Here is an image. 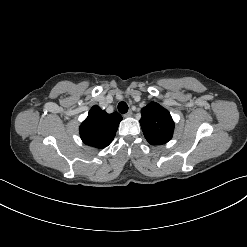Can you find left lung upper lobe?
Masks as SVG:
<instances>
[{"instance_id":"5c2ea615","label":"left lung upper lobe","mask_w":247,"mask_h":247,"mask_svg":"<svg viewBox=\"0 0 247 247\" xmlns=\"http://www.w3.org/2000/svg\"><path fill=\"white\" fill-rule=\"evenodd\" d=\"M141 128L146 140L152 145H162L171 140L174 122L170 113L156 102L142 108Z\"/></svg>"}]
</instances>
